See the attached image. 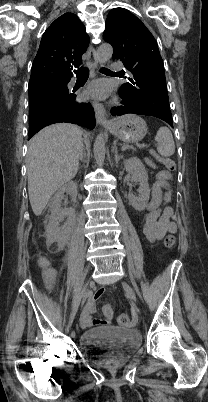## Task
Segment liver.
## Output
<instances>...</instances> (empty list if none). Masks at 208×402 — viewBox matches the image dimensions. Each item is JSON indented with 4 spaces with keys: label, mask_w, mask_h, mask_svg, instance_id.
<instances>
[{
    "label": "liver",
    "mask_w": 208,
    "mask_h": 402,
    "mask_svg": "<svg viewBox=\"0 0 208 402\" xmlns=\"http://www.w3.org/2000/svg\"><path fill=\"white\" fill-rule=\"evenodd\" d=\"M82 134L72 124H53L30 140L26 166L29 200L35 216H41L58 188L75 178Z\"/></svg>",
    "instance_id": "1"
}]
</instances>
